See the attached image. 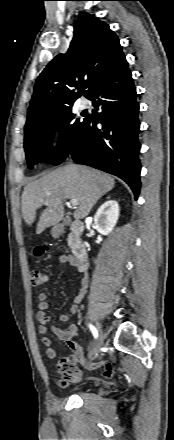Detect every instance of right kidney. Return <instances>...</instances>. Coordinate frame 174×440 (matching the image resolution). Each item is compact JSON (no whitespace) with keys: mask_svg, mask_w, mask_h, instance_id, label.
Returning a JSON list of instances; mask_svg holds the SVG:
<instances>
[{"mask_svg":"<svg viewBox=\"0 0 174 440\" xmlns=\"http://www.w3.org/2000/svg\"><path fill=\"white\" fill-rule=\"evenodd\" d=\"M119 218V204L115 200H108L98 209L94 216V223L98 232L109 235Z\"/></svg>","mask_w":174,"mask_h":440,"instance_id":"1","label":"right kidney"}]
</instances>
